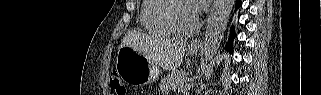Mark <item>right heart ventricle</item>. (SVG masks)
Masks as SVG:
<instances>
[{"instance_id":"right-heart-ventricle-1","label":"right heart ventricle","mask_w":321,"mask_h":95,"mask_svg":"<svg viewBox=\"0 0 321 95\" xmlns=\"http://www.w3.org/2000/svg\"><path fill=\"white\" fill-rule=\"evenodd\" d=\"M165 0H143L140 7V21L144 28L156 35H169L171 32L159 19V10Z\"/></svg>"}]
</instances>
